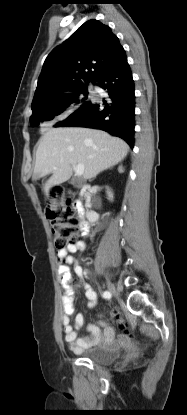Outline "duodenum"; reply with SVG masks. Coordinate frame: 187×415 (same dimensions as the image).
Returning a JSON list of instances; mask_svg holds the SVG:
<instances>
[{
    "instance_id": "410a0bca",
    "label": "duodenum",
    "mask_w": 187,
    "mask_h": 415,
    "mask_svg": "<svg viewBox=\"0 0 187 415\" xmlns=\"http://www.w3.org/2000/svg\"><path fill=\"white\" fill-rule=\"evenodd\" d=\"M81 191L83 192L84 195L87 194L88 192V188L87 186H82L81 187ZM74 209L75 211L81 215L82 217H84L82 223H81V229L84 233L89 231L90 228V224L91 222L95 219V215L92 212H86V210L84 209V206L82 204L81 201H76L74 203Z\"/></svg>"
}]
</instances>
